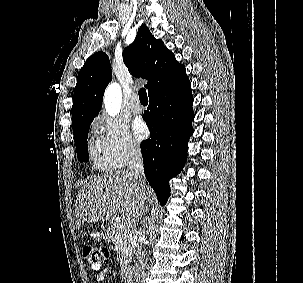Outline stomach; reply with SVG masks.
<instances>
[{
  "mask_svg": "<svg viewBox=\"0 0 303 283\" xmlns=\"http://www.w3.org/2000/svg\"><path fill=\"white\" fill-rule=\"evenodd\" d=\"M101 228H102L103 230H106V225H105L104 222L101 223Z\"/></svg>",
  "mask_w": 303,
  "mask_h": 283,
  "instance_id": "obj_1",
  "label": "stomach"
}]
</instances>
